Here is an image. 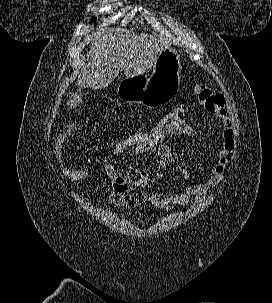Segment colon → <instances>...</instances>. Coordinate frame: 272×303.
Listing matches in <instances>:
<instances>
[{
	"instance_id": "1",
	"label": "colon",
	"mask_w": 272,
	"mask_h": 303,
	"mask_svg": "<svg viewBox=\"0 0 272 303\" xmlns=\"http://www.w3.org/2000/svg\"><path fill=\"white\" fill-rule=\"evenodd\" d=\"M187 106L180 102L167 110L153 125L124 134L118 138L111 147L110 155L121 154L137 149L153 148L165 143L172 136L178 135L190 126L186 117ZM74 126H70L63 132L56 144L55 161L61 175L68 180L79 182L88 179L94 174L91 165L68 166L62 157V143L74 132ZM116 170L109 159L104 164V173ZM146 199L143 191H132L126 194L113 193L110 200L113 204L123 207H133Z\"/></svg>"
}]
</instances>
